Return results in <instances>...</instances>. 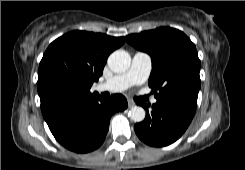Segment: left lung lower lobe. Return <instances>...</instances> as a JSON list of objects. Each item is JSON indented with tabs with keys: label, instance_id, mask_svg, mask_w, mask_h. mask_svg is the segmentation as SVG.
Here are the masks:
<instances>
[{
	"label": "left lung lower lobe",
	"instance_id": "0a47b994",
	"mask_svg": "<svg viewBox=\"0 0 245 170\" xmlns=\"http://www.w3.org/2000/svg\"><path fill=\"white\" fill-rule=\"evenodd\" d=\"M146 110L145 120L134 126L137 136L146 144L155 147L175 142L189 126L196 107L174 100H157L152 105L142 104Z\"/></svg>",
	"mask_w": 245,
	"mask_h": 170
}]
</instances>
